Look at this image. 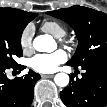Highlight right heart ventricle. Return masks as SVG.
Segmentation results:
<instances>
[{"mask_svg": "<svg viewBox=\"0 0 107 107\" xmlns=\"http://www.w3.org/2000/svg\"><path fill=\"white\" fill-rule=\"evenodd\" d=\"M42 29L55 38H62L67 32L66 27L62 23L55 20L45 21L42 24Z\"/></svg>", "mask_w": 107, "mask_h": 107, "instance_id": "obj_1", "label": "right heart ventricle"}]
</instances>
